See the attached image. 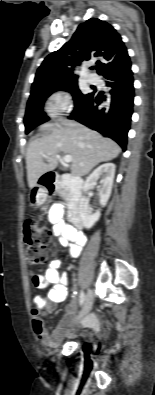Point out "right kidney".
I'll return each mask as SVG.
<instances>
[{"instance_id": "1", "label": "right kidney", "mask_w": 155, "mask_h": 395, "mask_svg": "<svg viewBox=\"0 0 155 395\" xmlns=\"http://www.w3.org/2000/svg\"><path fill=\"white\" fill-rule=\"evenodd\" d=\"M115 175V165L113 163H106L95 169L86 179L84 191L96 185V180L100 176H104L102 187L99 189L100 204L104 207L111 195L112 185ZM80 217L85 228H91L100 218V211L92 213L89 207V200L86 197L80 200Z\"/></svg>"}]
</instances>
